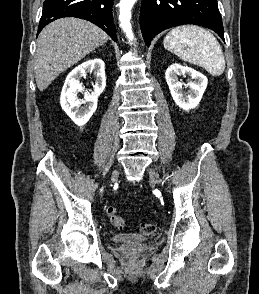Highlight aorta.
I'll list each match as a JSON object with an SVG mask.
<instances>
[{
    "mask_svg": "<svg viewBox=\"0 0 259 294\" xmlns=\"http://www.w3.org/2000/svg\"><path fill=\"white\" fill-rule=\"evenodd\" d=\"M137 0H120L119 3V21L122 30L125 32L129 40L134 39L132 32L131 20V10Z\"/></svg>",
    "mask_w": 259,
    "mask_h": 294,
    "instance_id": "1",
    "label": "aorta"
}]
</instances>
